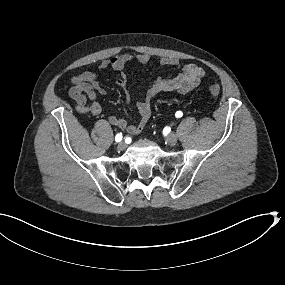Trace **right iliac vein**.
I'll list each match as a JSON object with an SVG mask.
<instances>
[{"instance_id":"right-iliac-vein-1","label":"right iliac vein","mask_w":285,"mask_h":285,"mask_svg":"<svg viewBox=\"0 0 285 285\" xmlns=\"http://www.w3.org/2000/svg\"><path fill=\"white\" fill-rule=\"evenodd\" d=\"M126 148V144L124 143V142H120L119 144H118V149L119 150H124Z\"/></svg>"}]
</instances>
